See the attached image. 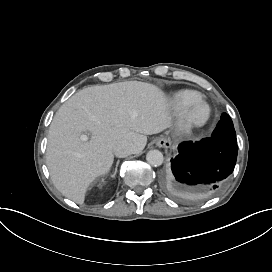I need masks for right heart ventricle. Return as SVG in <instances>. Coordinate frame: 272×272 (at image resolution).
Wrapping results in <instances>:
<instances>
[{"label": "right heart ventricle", "instance_id": "obj_1", "mask_svg": "<svg viewBox=\"0 0 272 272\" xmlns=\"http://www.w3.org/2000/svg\"><path fill=\"white\" fill-rule=\"evenodd\" d=\"M198 95L199 93L194 89H181L173 94L172 100L176 106H180L183 102L190 100Z\"/></svg>", "mask_w": 272, "mask_h": 272}]
</instances>
